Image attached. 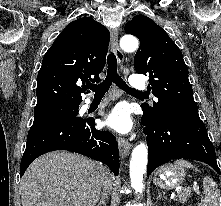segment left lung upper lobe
I'll list each match as a JSON object with an SVG mask.
<instances>
[{"label": "left lung upper lobe", "instance_id": "obj_1", "mask_svg": "<svg viewBox=\"0 0 221 206\" xmlns=\"http://www.w3.org/2000/svg\"><path fill=\"white\" fill-rule=\"evenodd\" d=\"M127 34L140 40L134 58L139 74H149V90L158 102L142 107L155 121L165 119H200L188 79V68L176 44L152 19L137 15L125 25Z\"/></svg>", "mask_w": 221, "mask_h": 206}]
</instances>
